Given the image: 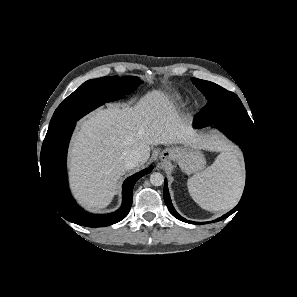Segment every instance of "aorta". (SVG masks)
Masks as SVG:
<instances>
[{"label": "aorta", "mask_w": 297, "mask_h": 297, "mask_svg": "<svg viewBox=\"0 0 297 297\" xmlns=\"http://www.w3.org/2000/svg\"><path fill=\"white\" fill-rule=\"evenodd\" d=\"M150 182L153 186H161L164 182V177L159 172H154L150 176Z\"/></svg>", "instance_id": "obj_1"}]
</instances>
